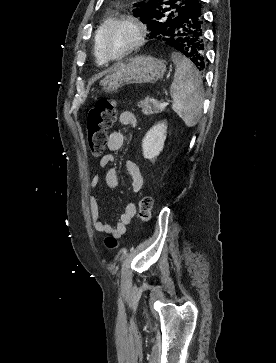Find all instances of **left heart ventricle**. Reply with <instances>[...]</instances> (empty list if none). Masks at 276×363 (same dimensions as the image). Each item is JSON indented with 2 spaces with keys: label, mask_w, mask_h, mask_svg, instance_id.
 Instances as JSON below:
<instances>
[{
  "label": "left heart ventricle",
  "mask_w": 276,
  "mask_h": 363,
  "mask_svg": "<svg viewBox=\"0 0 276 363\" xmlns=\"http://www.w3.org/2000/svg\"><path fill=\"white\" fill-rule=\"evenodd\" d=\"M134 32L126 25H119L115 27L106 36L104 46L106 52L115 56L121 53L133 40Z\"/></svg>",
  "instance_id": "left-heart-ventricle-1"
}]
</instances>
